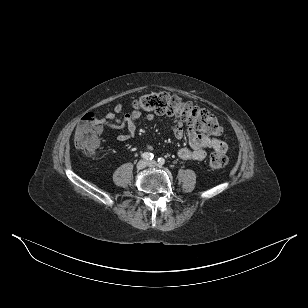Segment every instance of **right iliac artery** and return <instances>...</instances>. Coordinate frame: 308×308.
Wrapping results in <instances>:
<instances>
[{
  "mask_svg": "<svg viewBox=\"0 0 308 308\" xmlns=\"http://www.w3.org/2000/svg\"><path fill=\"white\" fill-rule=\"evenodd\" d=\"M141 157L146 160H152L154 155L150 152H144Z\"/></svg>",
  "mask_w": 308,
  "mask_h": 308,
  "instance_id": "obj_1",
  "label": "right iliac artery"
}]
</instances>
